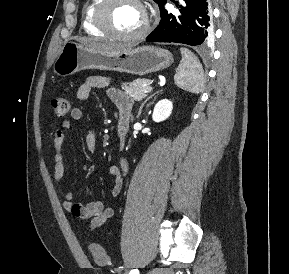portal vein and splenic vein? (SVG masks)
Wrapping results in <instances>:
<instances>
[{"mask_svg": "<svg viewBox=\"0 0 289 274\" xmlns=\"http://www.w3.org/2000/svg\"><path fill=\"white\" fill-rule=\"evenodd\" d=\"M151 90H152V87L149 86V87H147V88L144 90V92L147 93V92H150Z\"/></svg>", "mask_w": 289, "mask_h": 274, "instance_id": "1", "label": "portal vein and splenic vein"}]
</instances>
